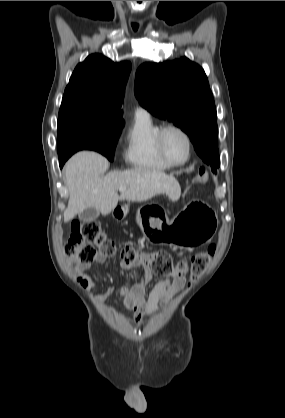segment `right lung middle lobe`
I'll return each instance as SVG.
<instances>
[{
	"label": "right lung middle lobe",
	"instance_id": "obj_1",
	"mask_svg": "<svg viewBox=\"0 0 285 418\" xmlns=\"http://www.w3.org/2000/svg\"><path fill=\"white\" fill-rule=\"evenodd\" d=\"M124 121L80 112L59 111L58 155L67 159L79 150H94L113 161L115 147Z\"/></svg>",
	"mask_w": 285,
	"mask_h": 418
}]
</instances>
